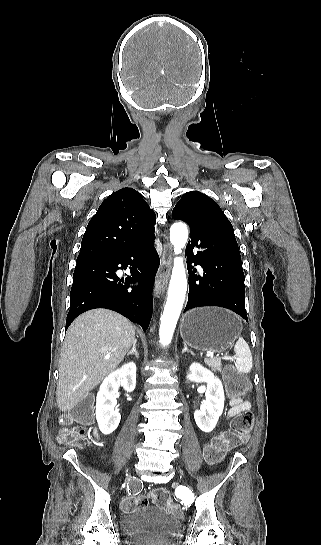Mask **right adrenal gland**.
Returning <instances> with one entry per match:
<instances>
[{
	"label": "right adrenal gland",
	"mask_w": 321,
	"mask_h": 545,
	"mask_svg": "<svg viewBox=\"0 0 321 545\" xmlns=\"http://www.w3.org/2000/svg\"><path fill=\"white\" fill-rule=\"evenodd\" d=\"M137 343H138V339H134V343H133V347L131 349V351H129V353H127V355H135V357H137V359H139V355L137 353Z\"/></svg>",
	"instance_id": "2a0ac1e0"
}]
</instances>
